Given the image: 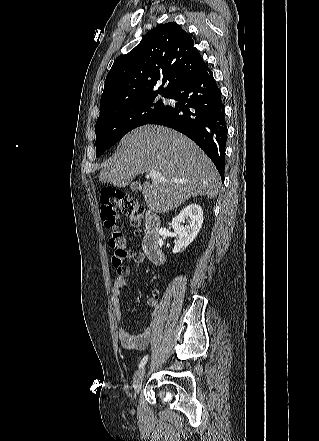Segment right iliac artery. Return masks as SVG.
<instances>
[{
  "label": "right iliac artery",
  "mask_w": 319,
  "mask_h": 441,
  "mask_svg": "<svg viewBox=\"0 0 319 441\" xmlns=\"http://www.w3.org/2000/svg\"><path fill=\"white\" fill-rule=\"evenodd\" d=\"M147 360H148V355H146V356L141 360V362H140V364H139V368H142V367L147 363Z\"/></svg>",
  "instance_id": "82829eb1"
}]
</instances>
